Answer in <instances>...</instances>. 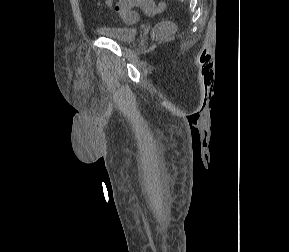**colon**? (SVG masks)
I'll list each match as a JSON object with an SVG mask.
<instances>
[{"instance_id":"1","label":"colon","mask_w":289,"mask_h":252,"mask_svg":"<svg viewBox=\"0 0 289 252\" xmlns=\"http://www.w3.org/2000/svg\"><path fill=\"white\" fill-rule=\"evenodd\" d=\"M136 6L140 7L144 13L153 15L161 11L164 4L155 0H119L116 11L126 22H134L137 19V14L133 8ZM173 31L174 25L171 22L163 21L154 26L152 36L154 39L162 40L171 35Z\"/></svg>"}]
</instances>
